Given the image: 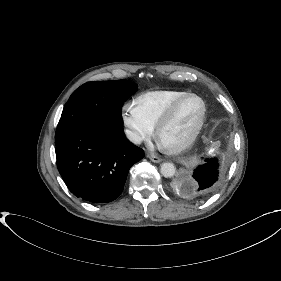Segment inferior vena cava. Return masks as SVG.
Wrapping results in <instances>:
<instances>
[{"mask_svg": "<svg viewBox=\"0 0 281 281\" xmlns=\"http://www.w3.org/2000/svg\"><path fill=\"white\" fill-rule=\"evenodd\" d=\"M125 134H126L127 138L134 144H140L142 141L141 137L138 134H136L130 130H125Z\"/></svg>", "mask_w": 281, "mask_h": 281, "instance_id": "inferior-vena-cava-1", "label": "inferior vena cava"}]
</instances>
